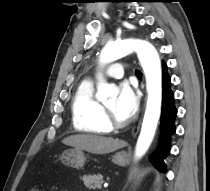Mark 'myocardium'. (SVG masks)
Returning a JSON list of instances; mask_svg holds the SVG:
<instances>
[{"instance_id":"myocardium-1","label":"myocardium","mask_w":210,"mask_h":191,"mask_svg":"<svg viewBox=\"0 0 210 191\" xmlns=\"http://www.w3.org/2000/svg\"><path fill=\"white\" fill-rule=\"evenodd\" d=\"M103 109L105 113L106 123L110 129H119L127 125V122L125 120H119L116 115L109 108L106 107V105H103Z\"/></svg>"}]
</instances>
